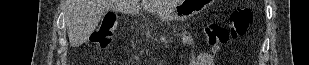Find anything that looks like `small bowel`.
<instances>
[{
    "label": "small bowel",
    "instance_id": "small-bowel-1",
    "mask_svg": "<svg viewBox=\"0 0 309 65\" xmlns=\"http://www.w3.org/2000/svg\"><path fill=\"white\" fill-rule=\"evenodd\" d=\"M189 47V54L183 65H215L214 55L219 51V47L213 46L211 53H196L195 44L193 39L189 36L186 39Z\"/></svg>",
    "mask_w": 309,
    "mask_h": 65
}]
</instances>
